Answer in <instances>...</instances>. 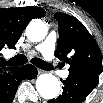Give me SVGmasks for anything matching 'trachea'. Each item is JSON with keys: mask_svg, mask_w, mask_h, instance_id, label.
<instances>
[{"mask_svg": "<svg viewBox=\"0 0 103 103\" xmlns=\"http://www.w3.org/2000/svg\"><path fill=\"white\" fill-rule=\"evenodd\" d=\"M26 62H27V58L22 54H18L15 57H13L12 59H10L9 61H4V65H6V66H21V65L25 64ZM31 63L40 69H44V70L51 69V66L48 63H46L45 61L41 60L40 58H33L31 60Z\"/></svg>", "mask_w": 103, "mask_h": 103, "instance_id": "3493384b", "label": "trachea"}]
</instances>
